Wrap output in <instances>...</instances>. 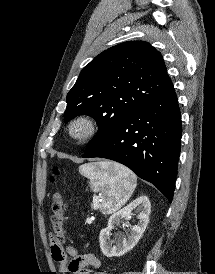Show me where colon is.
<instances>
[{
    "label": "colon",
    "mask_w": 215,
    "mask_h": 274,
    "mask_svg": "<svg viewBox=\"0 0 215 274\" xmlns=\"http://www.w3.org/2000/svg\"><path fill=\"white\" fill-rule=\"evenodd\" d=\"M59 175V169L55 167L53 169V175L51 176V181L56 185V178ZM66 211V201L60 191H56L53 195L52 202V216L51 223L53 227V233L50 236V240L57 243L63 242L62 227L64 223V213Z\"/></svg>",
    "instance_id": "colon-1"
}]
</instances>
